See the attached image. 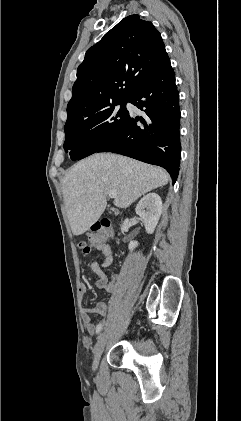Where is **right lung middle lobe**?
<instances>
[{
	"label": "right lung middle lobe",
	"mask_w": 241,
	"mask_h": 421,
	"mask_svg": "<svg viewBox=\"0 0 241 421\" xmlns=\"http://www.w3.org/2000/svg\"><path fill=\"white\" fill-rule=\"evenodd\" d=\"M123 100L64 127V149L72 160L83 159L109 143L126 125L129 112ZM120 105V108L116 105Z\"/></svg>",
	"instance_id": "obj_1"
}]
</instances>
